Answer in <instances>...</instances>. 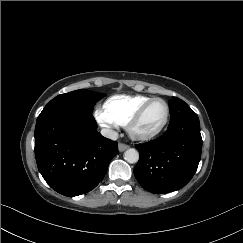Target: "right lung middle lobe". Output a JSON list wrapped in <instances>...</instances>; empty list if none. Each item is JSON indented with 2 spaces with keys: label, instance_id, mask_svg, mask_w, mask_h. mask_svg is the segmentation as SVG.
Masks as SVG:
<instances>
[{
  "label": "right lung middle lobe",
  "instance_id": "dd1d6c3e",
  "mask_svg": "<svg viewBox=\"0 0 243 243\" xmlns=\"http://www.w3.org/2000/svg\"><path fill=\"white\" fill-rule=\"evenodd\" d=\"M105 96L106 94L95 93L86 89L61 94L52 99L44 107L39 116L61 109L92 115L94 105Z\"/></svg>",
  "mask_w": 243,
  "mask_h": 243
}]
</instances>
